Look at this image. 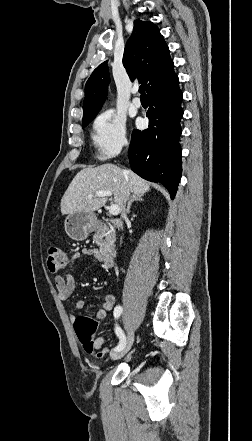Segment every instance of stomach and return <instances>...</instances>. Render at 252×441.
I'll return each instance as SVG.
<instances>
[{
	"instance_id": "obj_1",
	"label": "stomach",
	"mask_w": 252,
	"mask_h": 441,
	"mask_svg": "<svg viewBox=\"0 0 252 441\" xmlns=\"http://www.w3.org/2000/svg\"><path fill=\"white\" fill-rule=\"evenodd\" d=\"M95 228L96 216L93 212H73L65 219L66 233L76 241L85 240Z\"/></svg>"
}]
</instances>
